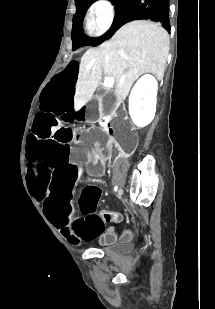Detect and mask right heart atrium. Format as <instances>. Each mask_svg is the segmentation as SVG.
<instances>
[{
  "label": "right heart atrium",
  "instance_id": "obj_1",
  "mask_svg": "<svg viewBox=\"0 0 215 309\" xmlns=\"http://www.w3.org/2000/svg\"><path fill=\"white\" fill-rule=\"evenodd\" d=\"M99 2L102 4L99 5ZM110 0H95L97 7L88 12L87 21L95 34L104 33L112 28V9L107 3Z\"/></svg>",
  "mask_w": 215,
  "mask_h": 309
}]
</instances>
